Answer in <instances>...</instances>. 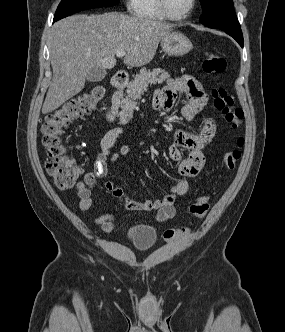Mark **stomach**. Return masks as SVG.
<instances>
[{
  "label": "stomach",
  "instance_id": "stomach-1",
  "mask_svg": "<svg viewBox=\"0 0 285 332\" xmlns=\"http://www.w3.org/2000/svg\"><path fill=\"white\" fill-rule=\"evenodd\" d=\"M163 51L169 55L182 56L187 54L193 47L191 41L179 32L170 33L161 40Z\"/></svg>",
  "mask_w": 285,
  "mask_h": 332
}]
</instances>
